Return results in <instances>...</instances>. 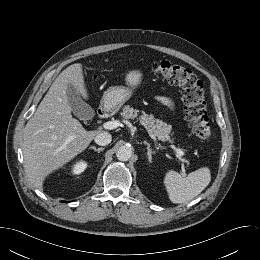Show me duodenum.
<instances>
[{
  "mask_svg": "<svg viewBox=\"0 0 260 260\" xmlns=\"http://www.w3.org/2000/svg\"><path fill=\"white\" fill-rule=\"evenodd\" d=\"M108 111L109 107L107 105H103L98 109L97 114L100 118H104L108 114Z\"/></svg>",
  "mask_w": 260,
  "mask_h": 260,
  "instance_id": "1",
  "label": "duodenum"
}]
</instances>
